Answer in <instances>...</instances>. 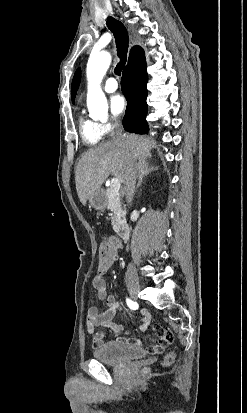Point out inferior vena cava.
<instances>
[{"label": "inferior vena cava", "instance_id": "inferior-vena-cava-1", "mask_svg": "<svg viewBox=\"0 0 247 413\" xmlns=\"http://www.w3.org/2000/svg\"><path fill=\"white\" fill-rule=\"evenodd\" d=\"M128 138L129 134H123L122 128H117V130H115L114 132L112 140H114V142H127ZM126 150L128 154L124 170L123 184L126 200L127 202H131V200H133L135 192L137 170L141 168V164L134 150V146H126ZM125 279L126 283H128V281H138L136 269L133 263H130V265H128L127 271L125 273Z\"/></svg>", "mask_w": 247, "mask_h": 413}]
</instances>
